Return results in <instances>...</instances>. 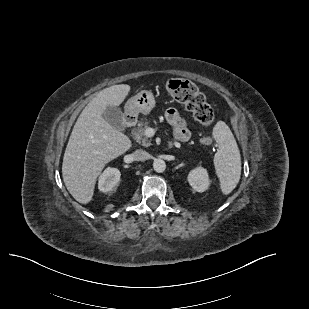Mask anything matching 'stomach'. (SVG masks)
<instances>
[{"label": "stomach", "mask_w": 309, "mask_h": 309, "mask_svg": "<svg viewBox=\"0 0 309 309\" xmlns=\"http://www.w3.org/2000/svg\"><path fill=\"white\" fill-rule=\"evenodd\" d=\"M155 107V99L153 93L148 90H142L135 96L131 97L125 106L126 112L138 116L140 113L149 115Z\"/></svg>", "instance_id": "1"}]
</instances>
